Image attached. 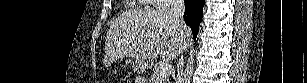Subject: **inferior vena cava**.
Instances as JSON below:
<instances>
[{
  "mask_svg": "<svg viewBox=\"0 0 307 83\" xmlns=\"http://www.w3.org/2000/svg\"><path fill=\"white\" fill-rule=\"evenodd\" d=\"M171 12L173 17L176 19L178 26L180 28V33H183V28H185V23L183 21V15L185 11V4L184 0H171ZM181 57L178 62V74H177V83H181V75L183 72V67H184V57L182 55V52L180 53Z\"/></svg>",
  "mask_w": 307,
  "mask_h": 83,
  "instance_id": "inferior-vena-cava-1",
  "label": "inferior vena cava"
}]
</instances>
